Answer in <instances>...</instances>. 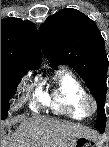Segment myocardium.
<instances>
[{"label":"myocardium","mask_w":109,"mask_h":147,"mask_svg":"<svg viewBox=\"0 0 109 147\" xmlns=\"http://www.w3.org/2000/svg\"><path fill=\"white\" fill-rule=\"evenodd\" d=\"M81 106L87 114H92L96 112L98 104L96 98L93 95L86 93L81 98Z\"/></svg>","instance_id":"myocardium-1"}]
</instances>
